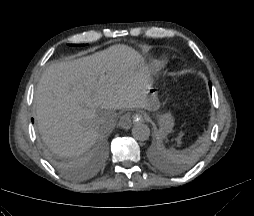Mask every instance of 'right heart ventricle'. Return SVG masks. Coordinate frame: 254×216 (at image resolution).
I'll return each instance as SVG.
<instances>
[{
    "label": "right heart ventricle",
    "mask_w": 254,
    "mask_h": 216,
    "mask_svg": "<svg viewBox=\"0 0 254 216\" xmlns=\"http://www.w3.org/2000/svg\"><path fill=\"white\" fill-rule=\"evenodd\" d=\"M163 63H164V61H163V60L158 61V62H156V66H160V65H162Z\"/></svg>",
    "instance_id": "e07e8e85"
}]
</instances>
